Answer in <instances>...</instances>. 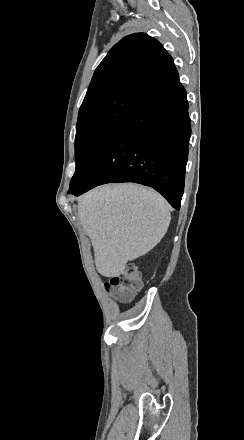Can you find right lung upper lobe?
<instances>
[{
  "label": "right lung upper lobe",
  "mask_w": 244,
  "mask_h": 440,
  "mask_svg": "<svg viewBox=\"0 0 244 440\" xmlns=\"http://www.w3.org/2000/svg\"><path fill=\"white\" fill-rule=\"evenodd\" d=\"M175 73L163 46L145 33H135L120 40L97 67L82 104L120 94L141 98Z\"/></svg>",
  "instance_id": "right-lung-upper-lobe-1"
}]
</instances>
